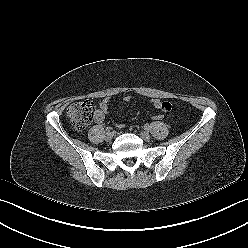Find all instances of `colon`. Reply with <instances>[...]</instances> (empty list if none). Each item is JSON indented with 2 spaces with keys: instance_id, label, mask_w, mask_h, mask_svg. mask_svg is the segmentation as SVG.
I'll list each match as a JSON object with an SVG mask.
<instances>
[{
  "instance_id": "5ec220e1",
  "label": "colon",
  "mask_w": 248,
  "mask_h": 248,
  "mask_svg": "<svg viewBox=\"0 0 248 248\" xmlns=\"http://www.w3.org/2000/svg\"><path fill=\"white\" fill-rule=\"evenodd\" d=\"M95 112L94 104L89 101H79L72 103L67 109V117L71 123V126L75 130H82L86 128L93 120ZM154 121H162V115H154L152 117Z\"/></svg>"
}]
</instances>
